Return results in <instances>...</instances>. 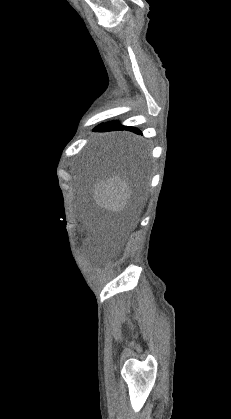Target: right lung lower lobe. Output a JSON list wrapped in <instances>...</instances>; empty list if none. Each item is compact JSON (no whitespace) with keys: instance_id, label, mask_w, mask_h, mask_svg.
<instances>
[{"instance_id":"98d812e1","label":"right lung lower lobe","mask_w":231,"mask_h":419,"mask_svg":"<svg viewBox=\"0 0 231 419\" xmlns=\"http://www.w3.org/2000/svg\"><path fill=\"white\" fill-rule=\"evenodd\" d=\"M115 130H128L132 131L136 134H141L140 130L134 127L123 126L118 122L108 123V124H101L95 128V131H115Z\"/></svg>"}]
</instances>
